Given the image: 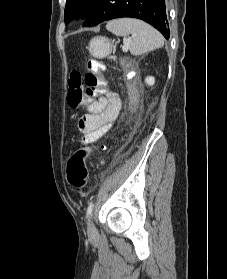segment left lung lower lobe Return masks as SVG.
Here are the masks:
<instances>
[{
    "instance_id": "obj_1",
    "label": "left lung lower lobe",
    "mask_w": 227,
    "mask_h": 279,
    "mask_svg": "<svg viewBox=\"0 0 227 279\" xmlns=\"http://www.w3.org/2000/svg\"><path fill=\"white\" fill-rule=\"evenodd\" d=\"M121 17L141 19L169 38L165 0H96L83 25H97Z\"/></svg>"
}]
</instances>
